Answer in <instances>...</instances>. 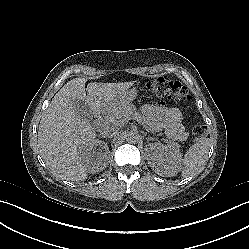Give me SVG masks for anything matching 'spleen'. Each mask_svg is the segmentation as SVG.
<instances>
[{"mask_svg": "<svg viewBox=\"0 0 249 249\" xmlns=\"http://www.w3.org/2000/svg\"><path fill=\"white\" fill-rule=\"evenodd\" d=\"M208 146L209 142L201 140L194 144L183 158L173 154L170 157V161L172 163H182L184 165V169L196 170L203 165Z\"/></svg>", "mask_w": 249, "mask_h": 249, "instance_id": "spleen-1", "label": "spleen"}]
</instances>
